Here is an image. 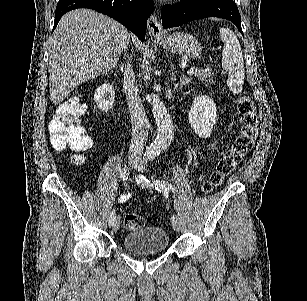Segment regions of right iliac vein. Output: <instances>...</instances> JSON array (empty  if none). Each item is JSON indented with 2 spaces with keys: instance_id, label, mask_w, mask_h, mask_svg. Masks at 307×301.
<instances>
[{
  "instance_id": "right-iliac-vein-1",
  "label": "right iliac vein",
  "mask_w": 307,
  "mask_h": 301,
  "mask_svg": "<svg viewBox=\"0 0 307 301\" xmlns=\"http://www.w3.org/2000/svg\"><path fill=\"white\" fill-rule=\"evenodd\" d=\"M137 165H138L137 158L135 156H133V155H130L128 157V166H129V168L132 170V169L136 168ZM119 227H120V219H119V217H117L115 222H114V224H113V226H112L113 231L116 232L119 229Z\"/></svg>"
}]
</instances>
